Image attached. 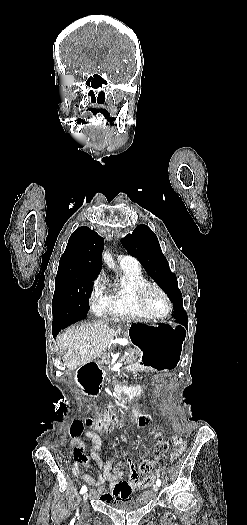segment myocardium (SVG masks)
<instances>
[{
  "instance_id": "myocardium-1",
  "label": "myocardium",
  "mask_w": 247,
  "mask_h": 525,
  "mask_svg": "<svg viewBox=\"0 0 247 525\" xmlns=\"http://www.w3.org/2000/svg\"><path fill=\"white\" fill-rule=\"evenodd\" d=\"M149 287H152V288H155L157 289L162 295L163 297L165 298L166 302H167V307L166 309L161 312V313H155L151 310H149L143 303V300H142V294L144 292V290L146 288H149ZM133 294H134V297L136 299V302H137V305L146 312V314L149 316V317H153V319H162V318H165L167 317L171 311H172V308H173V304H172V301H171V298L170 296L168 295V293L165 291V289L156 281H149V280H144L142 282H140L139 284H137L134 288H133Z\"/></svg>"
}]
</instances>
